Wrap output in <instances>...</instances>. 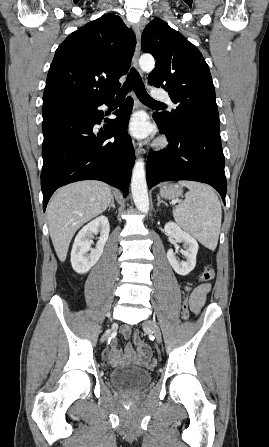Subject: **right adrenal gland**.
<instances>
[{
    "instance_id": "1",
    "label": "right adrenal gland",
    "mask_w": 269,
    "mask_h": 447,
    "mask_svg": "<svg viewBox=\"0 0 269 447\" xmlns=\"http://www.w3.org/2000/svg\"><path fill=\"white\" fill-rule=\"evenodd\" d=\"M111 208H115V204H114V196H112V202H111V204H110V206H109V208H108V212H109V210H111Z\"/></svg>"
}]
</instances>
